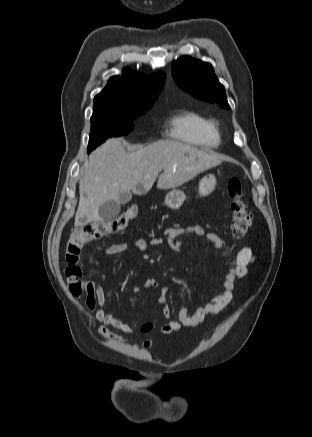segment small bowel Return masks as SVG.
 <instances>
[{
  "label": "small bowel",
  "mask_w": 312,
  "mask_h": 437,
  "mask_svg": "<svg viewBox=\"0 0 312 437\" xmlns=\"http://www.w3.org/2000/svg\"><path fill=\"white\" fill-rule=\"evenodd\" d=\"M187 235H194L205 238L209 244L220 251H226L227 245L225 241L218 235L212 232H208L201 226H179L169 227L165 230L164 236L169 243L172 250L176 253L182 251L181 237ZM154 243L161 242V239L154 238ZM129 245L133 246L139 251H143L147 248L148 242L142 238L133 239L130 243L120 242L114 243L105 249V255L114 256L122 254L127 250ZM233 266L224 275L222 279L221 290L211 297L209 301L196 309L193 314L189 313L188 308L182 307L179 309L177 319H172L171 310L168 300L166 298V288H162L157 298V303L161 307L163 315L168 319V322L158 327L159 335H168L173 332L181 330L183 327H196L202 324L209 316H214L220 313L233 298V288L235 282L244 277L249 267L255 261V254L249 246L242 247L239 252L233 256ZM145 288H156L159 283L155 279L148 278L144 281ZM134 293L140 291L139 286L132 288ZM106 306V293L102 286L88 282V296L86 299V308L89 311L95 312V318L102 325L98 328V334L114 342L127 343L128 339L122 335L112 332L109 328H113L122 331L126 334H133L136 332L150 333L158 326L157 317H153L151 320L140 324L139 326H132L124 322L121 318L108 313L105 309ZM155 339L150 338L143 342L144 347H150L153 345Z\"/></svg>",
  "instance_id": "small-bowel-1"
}]
</instances>
